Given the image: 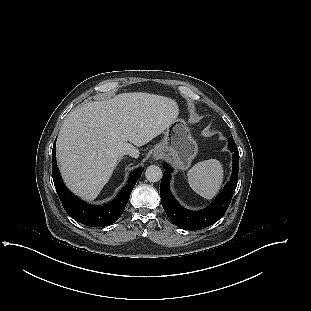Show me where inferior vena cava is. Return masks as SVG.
<instances>
[{
    "label": "inferior vena cava",
    "instance_id": "1",
    "mask_svg": "<svg viewBox=\"0 0 311 311\" xmlns=\"http://www.w3.org/2000/svg\"><path fill=\"white\" fill-rule=\"evenodd\" d=\"M137 147L136 146H129V147H126L125 149H124V154L126 155V156H133V155H136L137 154Z\"/></svg>",
    "mask_w": 311,
    "mask_h": 311
}]
</instances>
